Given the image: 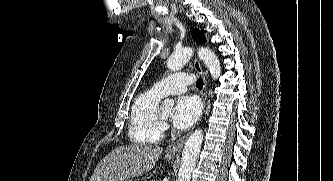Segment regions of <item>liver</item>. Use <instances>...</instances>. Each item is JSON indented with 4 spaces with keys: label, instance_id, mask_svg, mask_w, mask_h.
Listing matches in <instances>:
<instances>
[{
    "label": "liver",
    "instance_id": "6515ba94",
    "mask_svg": "<svg viewBox=\"0 0 333 181\" xmlns=\"http://www.w3.org/2000/svg\"><path fill=\"white\" fill-rule=\"evenodd\" d=\"M162 152L163 148L152 145L117 147L98 163L90 181H125L146 174Z\"/></svg>",
    "mask_w": 333,
    "mask_h": 181
}]
</instances>
